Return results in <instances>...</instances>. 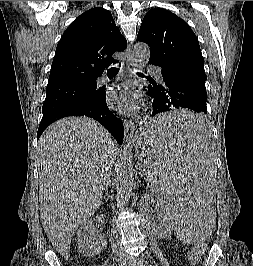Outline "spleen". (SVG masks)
<instances>
[{
    "label": "spleen",
    "mask_w": 253,
    "mask_h": 266,
    "mask_svg": "<svg viewBox=\"0 0 253 266\" xmlns=\"http://www.w3.org/2000/svg\"><path fill=\"white\" fill-rule=\"evenodd\" d=\"M206 115L201 111H163L150 117L148 132H154L140 174L154 204H160L177 229L181 248H206L210 235H217L211 185L215 179Z\"/></svg>",
    "instance_id": "3e777b00"
}]
</instances>
